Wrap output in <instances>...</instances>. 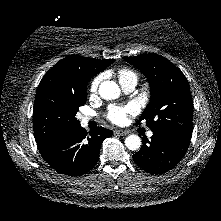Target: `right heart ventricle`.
Instances as JSON below:
<instances>
[{
  "label": "right heart ventricle",
  "instance_id": "obj_1",
  "mask_svg": "<svg viewBox=\"0 0 221 221\" xmlns=\"http://www.w3.org/2000/svg\"><path fill=\"white\" fill-rule=\"evenodd\" d=\"M117 76H118L120 83L128 81V80L137 81L138 79L137 74L133 70L128 69V68L119 69L117 72Z\"/></svg>",
  "mask_w": 221,
  "mask_h": 221
}]
</instances>
